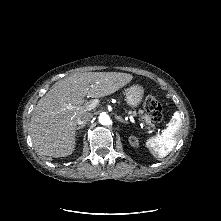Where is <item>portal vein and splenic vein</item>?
<instances>
[{
  "label": "portal vein and splenic vein",
  "mask_w": 221,
  "mask_h": 221,
  "mask_svg": "<svg viewBox=\"0 0 221 221\" xmlns=\"http://www.w3.org/2000/svg\"><path fill=\"white\" fill-rule=\"evenodd\" d=\"M98 104H99L98 100H92L90 102L86 101L84 106H80V107L71 106V108H73L75 110L90 111V110L94 109ZM129 119L131 120V122L136 123L133 116H130ZM137 123H140V120L137 121Z\"/></svg>",
  "instance_id": "18ae733b"
}]
</instances>
